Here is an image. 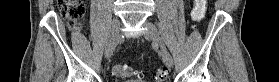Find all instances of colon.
Listing matches in <instances>:
<instances>
[{
  "label": "colon",
  "mask_w": 279,
  "mask_h": 82,
  "mask_svg": "<svg viewBox=\"0 0 279 82\" xmlns=\"http://www.w3.org/2000/svg\"><path fill=\"white\" fill-rule=\"evenodd\" d=\"M207 0H195L194 8L191 11V18L194 21H200L204 17L207 7ZM58 6L62 17H64L70 28L78 29L81 19L85 14L84 2L81 0H58ZM113 74L118 78L138 79L142 73L134 68L124 65L115 64L112 68ZM168 72L165 69H158L155 73V82H165Z\"/></svg>",
  "instance_id": "obj_1"
}]
</instances>
